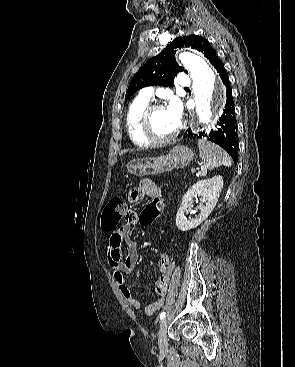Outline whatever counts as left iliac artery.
Segmentation results:
<instances>
[{"instance_id":"44dca946","label":"left iliac artery","mask_w":295,"mask_h":367,"mask_svg":"<svg viewBox=\"0 0 295 367\" xmlns=\"http://www.w3.org/2000/svg\"><path fill=\"white\" fill-rule=\"evenodd\" d=\"M165 315H166V313H165V312H162V313L160 314V316H159L160 320L164 319V318H165Z\"/></svg>"}]
</instances>
